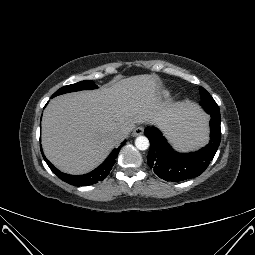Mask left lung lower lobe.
I'll use <instances>...</instances> for the list:
<instances>
[{
  "label": "left lung lower lobe",
  "instance_id": "1",
  "mask_svg": "<svg viewBox=\"0 0 255 255\" xmlns=\"http://www.w3.org/2000/svg\"><path fill=\"white\" fill-rule=\"evenodd\" d=\"M211 116L210 142L197 152L178 153L174 151L161 132L156 128H146L144 133L151 143L148 165L158 177L178 182L199 176L213 159L221 140L220 111H213L210 104L202 105Z\"/></svg>",
  "mask_w": 255,
  "mask_h": 255
}]
</instances>
